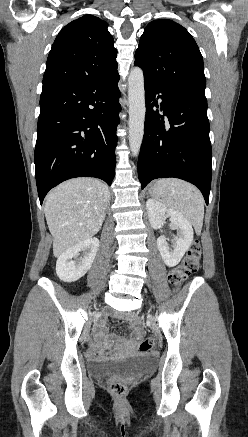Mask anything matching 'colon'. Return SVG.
<instances>
[{"mask_svg": "<svg viewBox=\"0 0 248 437\" xmlns=\"http://www.w3.org/2000/svg\"><path fill=\"white\" fill-rule=\"evenodd\" d=\"M200 257V244L198 241H194L188 249L187 253L185 254L182 262L177 267L169 271V282L175 287L180 286L191 273L195 272L198 269ZM154 346V338L147 337L141 342L140 351L149 352L153 349ZM109 388L111 392L118 398L124 397L127 392V387L125 383L118 380L110 381Z\"/></svg>", "mask_w": 248, "mask_h": 437, "instance_id": "obj_1", "label": "colon"}]
</instances>
